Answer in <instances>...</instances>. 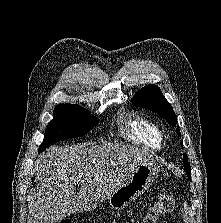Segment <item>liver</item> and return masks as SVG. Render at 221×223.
I'll list each match as a JSON object with an SVG mask.
<instances>
[{"label": "liver", "instance_id": "liver-1", "mask_svg": "<svg viewBox=\"0 0 221 223\" xmlns=\"http://www.w3.org/2000/svg\"><path fill=\"white\" fill-rule=\"evenodd\" d=\"M154 161L147 150L118 143L47 149L35 162L33 223H56L73 213L94 210L137 166ZM78 182L81 188L76 193Z\"/></svg>", "mask_w": 221, "mask_h": 223}]
</instances>
